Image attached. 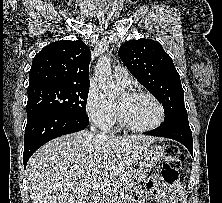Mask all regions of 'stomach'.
<instances>
[{"label":"stomach","instance_id":"1","mask_svg":"<svg viewBox=\"0 0 222 203\" xmlns=\"http://www.w3.org/2000/svg\"><path fill=\"white\" fill-rule=\"evenodd\" d=\"M164 155V147L160 145H153L145 148L140 155L138 169L141 173H147Z\"/></svg>","mask_w":222,"mask_h":203}]
</instances>
